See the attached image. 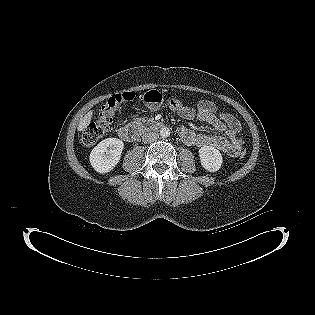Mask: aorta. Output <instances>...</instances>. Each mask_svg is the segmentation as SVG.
I'll return each instance as SVG.
<instances>
[{
	"instance_id": "762f6f07",
	"label": "aorta",
	"mask_w": 315,
	"mask_h": 315,
	"mask_svg": "<svg viewBox=\"0 0 315 315\" xmlns=\"http://www.w3.org/2000/svg\"><path fill=\"white\" fill-rule=\"evenodd\" d=\"M170 129L167 127L161 128L160 130V135L164 138L169 137L170 136Z\"/></svg>"
}]
</instances>
